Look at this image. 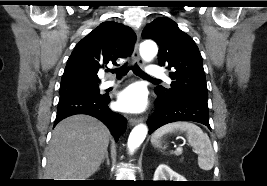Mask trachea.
Here are the masks:
<instances>
[{
  "mask_svg": "<svg viewBox=\"0 0 267 186\" xmlns=\"http://www.w3.org/2000/svg\"><path fill=\"white\" fill-rule=\"evenodd\" d=\"M128 70H129V68H128L127 63H126L118 69L107 70V72L116 73L117 78H121L123 75L127 74ZM132 70H133L134 74H136V75H141L144 78L159 81V79L152 78V77L148 76L147 74H145L144 72H142V70L140 69V67L137 64L134 65Z\"/></svg>",
  "mask_w": 267,
  "mask_h": 186,
  "instance_id": "trachea-1",
  "label": "trachea"
}]
</instances>
